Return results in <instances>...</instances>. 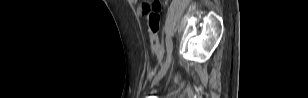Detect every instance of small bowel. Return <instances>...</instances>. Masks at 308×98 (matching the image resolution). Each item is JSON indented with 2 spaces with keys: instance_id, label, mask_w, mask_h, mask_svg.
Wrapping results in <instances>:
<instances>
[{
  "instance_id": "c3829d8e",
  "label": "small bowel",
  "mask_w": 308,
  "mask_h": 98,
  "mask_svg": "<svg viewBox=\"0 0 308 98\" xmlns=\"http://www.w3.org/2000/svg\"><path fill=\"white\" fill-rule=\"evenodd\" d=\"M132 2H133V3H135V2H136V0H132ZM141 9H143V5H142V7L140 8V10H141Z\"/></svg>"
}]
</instances>
